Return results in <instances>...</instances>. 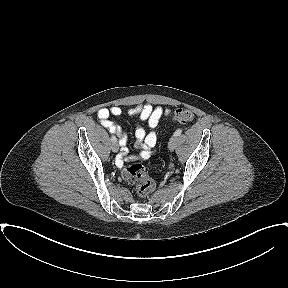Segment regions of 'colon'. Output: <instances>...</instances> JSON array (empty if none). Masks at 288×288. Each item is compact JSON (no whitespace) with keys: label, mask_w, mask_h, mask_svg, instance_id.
Wrapping results in <instances>:
<instances>
[{"label":"colon","mask_w":288,"mask_h":288,"mask_svg":"<svg viewBox=\"0 0 288 288\" xmlns=\"http://www.w3.org/2000/svg\"><path fill=\"white\" fill-rule=\"evenodd\" d=\"M193 119L194 114L186 108L177 109L172 114V120L181 124L190 123ZM122 177L126 182L136 185V193L141 198L149 197L155 189V182L148 176L142 164L134 163L124 167Z\"/></svg>","instance_id":"obj_1"}]
</instances>
